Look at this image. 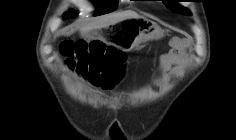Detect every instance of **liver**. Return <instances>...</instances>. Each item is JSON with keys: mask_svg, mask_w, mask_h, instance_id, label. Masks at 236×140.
<instances>
[{"mask_svg": "<svg viewBox=\"0 0 236 140\" xmlns=\"http://www.w3.org/2000/svg\"><path fill=\"white\" fill-rule=\"evenodd\" d=\"M138 17V15L135 12L128 11V12H122V13H114L112 15H109L103 19H101L98 22L83 26L80 28L81 32L87 33V32H96L100 35H103L102 29H108L110 25H114L123 19H126L128 17ZM75 31V29L70 30L67 35L72 34Z\"/></svg>", "mask_w": 236, "mask_h": 140, "instance_id": "1", "label": "liver"}]
</instances>
